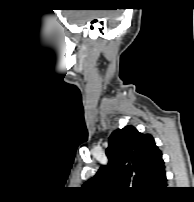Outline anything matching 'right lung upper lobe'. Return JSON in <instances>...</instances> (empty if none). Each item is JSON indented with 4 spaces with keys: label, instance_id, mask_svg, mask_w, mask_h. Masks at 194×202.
I'll use <instances>...</instances> for the list:
<instances>
[{
    "label": "right lung upper lobe",
    "instance_id": "cb5924a9",
    "mask_svg": "<svg viewBox=\"0 0 194 202\" xmlns=\"http://www.w3.org/2000/svg\"><path fill=\"white\" fill-rule=\"evenodd\" d=\"M108 165L85 183L92 190H116L138 196L162 192L167 179L162 153L150 134L133 126L115 130L106 150Z\"/></svg>",
    "mask_w": 194,
    "mask_h": 202
}]
</instances>
